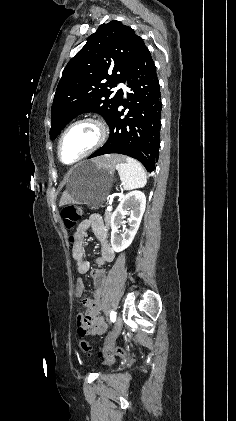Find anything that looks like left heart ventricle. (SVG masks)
<instances>
[{"instance_id": "1", "label": "left heart ventricle", "mask_w": 236, "mask_h": 421, "mask_svg": "<svg viewBox=\"0 0 236 421\" xmlns=\"http://www.w3.org/2000/svg\"><path fill=\"white\" fill-rule=\"evenodd\" d=\"M98 131L92 125H81L72 129L64 138L61 158L71 164L83 155L97 140Z\"/></svg>"}]
</instances>
